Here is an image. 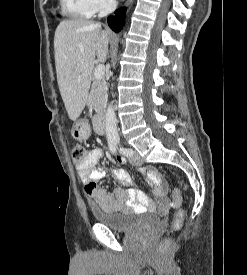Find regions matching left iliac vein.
I'll use <instances>...</instances> for the list:
<instances>
[{
	"instance_id": "left-iliac-vein-1",
	"label": "left iliac vein",
	"mask_w": 247,
	"mask_h": 275,
	"mask_svg": "<svg viewBox=\"0 0 247 275\" xmlns=\"http://www.w3.org/2000/svg\"><path fill=\"white\" fill-rule=\"evenodd\" d=\"M129 161L132 165H136V166H139V165L142 164V159L140 158L138 153L136 151H133V150H132V155L129 158Z\"/></svg>"
}]
</instances>
